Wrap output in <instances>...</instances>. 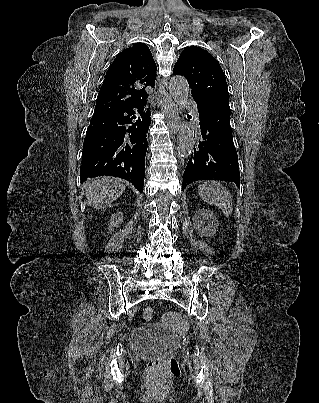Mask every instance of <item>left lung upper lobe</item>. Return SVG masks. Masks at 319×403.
Instances as JSON below:
<instances>
[{
  "label": "left lung upper lobe",
  "mask_w": 319,
  "mask_h": 403,
  "mask_svg": "<svg viewBox=\"0 0 319 403\" xmlns=\"http://www.w3.org/2000/svg\"><path fill=\"white\" fill-rule=\"evenodd\" d=\"M173 72L186 77L194 99L229 102L223 70L218 61L202 48L190 46L184 49Z\"/></svg>",
  "instance_id": "5c2ea615"
}]
</instances>
